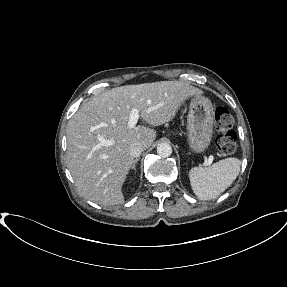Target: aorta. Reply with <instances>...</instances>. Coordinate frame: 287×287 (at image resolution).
Here are the masks:
<instances>
[{
  "label": "aorta",
  "instance_id": "1",
  "mask_svg": "<svg viewBox=\"0 0 287 287\" xmlns=\"http://www.w3.org/2000/svg\"><path fill=\"white\" fill-rule=\"evenodd\" d=\"M157 154L162 158H167L172 154V147L168 143H160L157 146Z\"/></svg>",
  "mask_w": 287,
  "mask_h": 287
}]
</instances>
